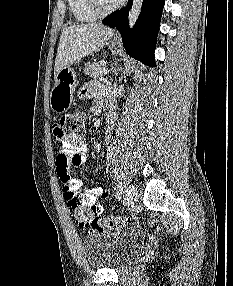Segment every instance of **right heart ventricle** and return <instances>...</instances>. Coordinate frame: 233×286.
I'll return each instance as SVG.
<instances>
[{"mask_svg":"<svg viewBox=\"0 0 233 286\" xmlns=\"http://www.w3.org/2000/svg\"><path fill=\"white\" fill-rule=\"evenodd\" d=\"M69 10L76 21L93 22L97 16L89 8L87 0H68Z\"/></svg>","mask_w":233,"mask_h":286,"instance_id":"obj_1","label":"right heart ventricle"}]
</instances>
